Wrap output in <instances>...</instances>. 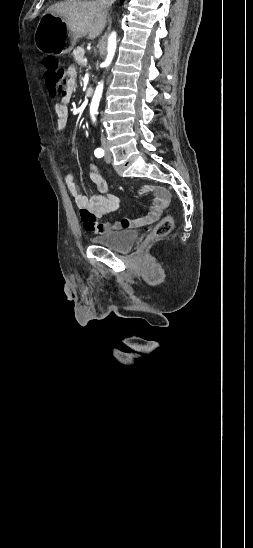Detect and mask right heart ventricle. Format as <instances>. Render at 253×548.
<instances>
[{
	"label": "right heart ventricle",
	"mask_w": 253,
	"mask_h": 548,
	"mask_svg": "<svg viewBox=\"0 0 253 548\" xmlns=\"http://www.w3.org/2000/svg\"><path fill=\"white\" fill-rule=\"evenodd\" d=\"M68 1H78V0H68Z\"/></svg>",
	"instance_id": "e07e8e85"
}]
</instances>
